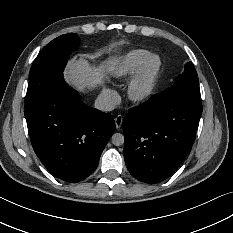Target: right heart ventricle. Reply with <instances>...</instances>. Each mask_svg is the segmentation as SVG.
<instances>
[{
  "label": "right heart ventricle",
  "mask_w": 233,
  "mask_h": 233,
  "mask_svg": "<svg viewBox=\"0 0 233 233\" xmlns=\"http://www.w3.org/2000/svg\"><path fill=\"white\" fill-rule=\"evenodd\" d=\"M152 52L134 49L118 58L113 68V77L120 82L129 81L145 64Z\"/></svg>",
  "instance_id": "1"
}]
</instances>
